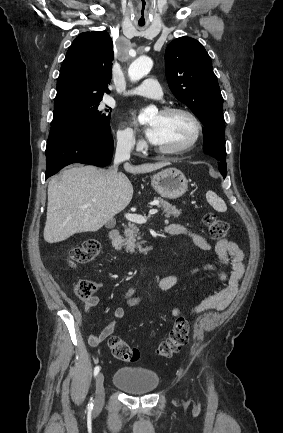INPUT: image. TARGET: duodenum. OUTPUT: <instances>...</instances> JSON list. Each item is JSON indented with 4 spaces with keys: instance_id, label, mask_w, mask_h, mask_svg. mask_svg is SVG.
<instances>
[{
    "instance_id": "410a0bca",
    "label": "duodenum",
    "mask_w": 283,
    "mask_h": 433,
    "mask_svg": "<svg viewBox=\"0 0 283 433\" xmlns=\"http://www.w3.org/2000/svg\"><path fill=\"white\" fill-rule=\"evenodd\" d=\"M108 237H109V240L112 242V244L115 247H118L121 245L122 240H121V234H120L119 230H117V229L111 230L109 232Z\"/></svg>"
}]
</instances>
